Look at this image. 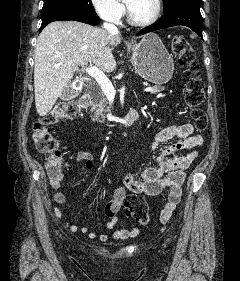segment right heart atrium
Masks as SVG:
<instances>
[{
    "mask_svg": "<svg viewBox=\"0 0 240 281\" xmlns=\"http://www.w3.org/2000/svg\"><path fill=\"white\" fill-rule=\"evenodd\" d=\"M96 14L103 20L116 24L125 14V7L120 0H91Z\"/></svg>",
    "mask_w": 240,
    "mask_h": 281,
    "instance_id": "right-heart-atrium-1",
    "label": "right heart atrium"
}]
</instances>
